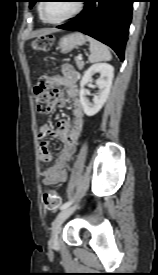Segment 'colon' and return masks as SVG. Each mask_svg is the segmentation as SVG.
Masks as SVG:
<instances>
[{
    "mask_svg": "<svg viewBox=\"0 0 158 275\" xmlns=\"http://www.w3.org/2000/svg\"><path fill=\"white\" fill-rule=\"evenodd\" d=\"M52 44H53V36L46 34L37 38L33 42L32 46L35 50L47 51L52 47ZM34 96H35V102H36V109L38 113L40 114L49 113L52 108L55 93H52L47 89V85L45 82L40 80L37 83L34 89ZM41 198H42V203L44 207L49 210H55L61 204L60 195L51 189L43 190L41 194Z\"/></svg>",
    "mask_w": 158,
    "mask_h": 275,
    "instance_id": "5ec220e1",
    "label": "colon"
}]
</instances>
